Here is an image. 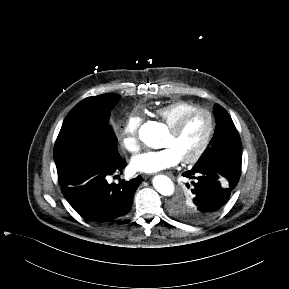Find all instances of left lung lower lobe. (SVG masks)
<instances>
[{
	"instance_id": "1",
	"label": "left lung lower lobe",
	"mask_w": 289,
	"mask_h": 289,
	"mask_svg": "<svg viewBox=\"0 0 289 289\" xmlns=\"http://www.w3.org/2000/svg\"><path fill=\"white\" fill-rule=\"evenodd\" d=\"M240 173L241 165L228 164L192 168L182 174L192 179L190 201L198 218L206 221L222 209L237 185Z\"/></svg>"
}]
</instances>
